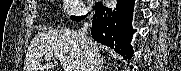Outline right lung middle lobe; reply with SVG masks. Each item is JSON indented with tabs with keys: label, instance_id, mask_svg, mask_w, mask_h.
I'll use <instances>...</instances> for the list:
<instances>
[{
	"label": "right lung middle lobe",
	"instance_id": "1",
	"mask_svg": "<svg viewBox=\"0 0 181 71\" xmlns=\"http://www.w3.org/2000/svg\"><path fill=\"white\" fill-rule=\"evenodd\" d=\"M71 18H79V17H76V16H71Z\"/></svg>",
	"mask_w": 181,
	"mask_h": 71
}]
</instances>
